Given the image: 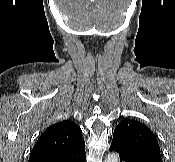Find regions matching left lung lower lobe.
I'll list each match as a JSON object with an SVG mask.
<instances>
[{"instance_id":"left-lung-lower-lobe-1","label":"left lung lower lobe","mask_w":175,"mask_h":162,"mask_svg":"<svg viewBox=\"0 0 175 162\" xmlns=\"http://www.w3.org/2000/svg\"><path fill=\"white\" fill-rule=\"evenodd\" d=\"M110 150L119 153L120 162H162L160 151L149 148L129 151L111 143Z\"/></svg>"}]
</instances>
